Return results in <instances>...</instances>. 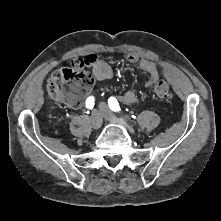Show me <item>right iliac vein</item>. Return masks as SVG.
<instances>
[{"mask_svg": "<svg viewBox=\"0 0 221 221\" xmlns=\"http://www.w3.org/2000/svg\"><path fill=\"white\" fill-rule=\"evenodd\" d=\"M102 112L101 110H95L92 114V126L93 129L98 130L102 126Z\"/></svg>", "mask_w": 221, "mask_h": 221, "instance_id": "63e3f726", "label": "right iliac vein"}]
</instances>
